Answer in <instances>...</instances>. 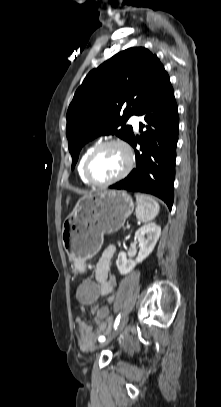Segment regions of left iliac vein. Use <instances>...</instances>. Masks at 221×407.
I'll list each match as a JSON object with an SVG mask.
<instances>
[{"label":"left iliac vein","mask_w":221,"mask_h":407,"mask_svg":"<svg viewBox=\"0 0 221 407\" xmlns=\"http://www.w3.org/2000/svg\"><path fill=\"white\" fill-rule=\"evenodd\" d=\"M128 320H129L128 315L124 316L123 319L121 320V322H120L118 328L114 331L113 334H111V335L108 336V338H107L106 341H104V342H102V343L100 344V347L105 346V345L108 344L115 336H117V335L120 333V331H122V330L125 328V326H126L127 323H128Z\"/></svg>","instance_id":"1"}]
</instances>
